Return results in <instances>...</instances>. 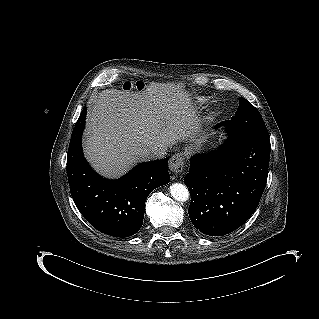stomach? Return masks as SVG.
<instances>
[{
	"label": "stomach",
	"mask_w": 319,
	"mask_h": 319,
	"mask_svg": "<svg viewBox=\"0 0 319 319\" xmlns=\"http://www.w3.org/2000/svg\"><path fill=\"white\" fill-rule=\"evenodd\" d=\"M199 141H200V140H197L195 143H200Z\"/></svg>",
	"instance_id": "obj_1"
}]
</instances>
